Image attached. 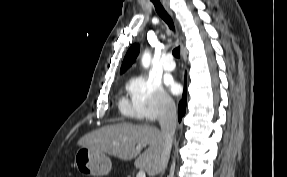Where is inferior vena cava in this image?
Listing matches in <instances>:
<instances>
[{
  "instance_id": "1",
  "label": "inferior vena cava",
  "mask_w": 287,
  "mask_h": 177,
  "mask_svg": "<svg viewBox=\"0 0 287 177\" xmlns=\"http://www.w3.org/2000/svg\"><path fill=\"white\" fill-rule=\"evenodd\" d=\"M176 114L177 110L174 101L170 98H166L163 102L158 119L163 139L161 172H164L170 157L173 137L176 129Z\"/></svg>"
}]
</instances>
